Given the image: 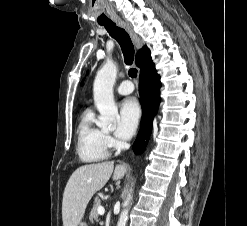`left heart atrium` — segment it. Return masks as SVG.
<instances>
[{
  "label": "left heart atrium",
  "mask_w": 247,
  "mask_h": 226,
  "mask_svg": "<svg viewBox=\"0 0 247 226\" xmlns=\"http://www.w3.org/2000/svg\"><path fill=\"white\" fill-rule=\"evenodd\" d=\"M140 116L141 108L137 99H125L120 105L118 136L122 139L131 137L138 126Z\"/></svg>",
  "instance_id": "left-heart-atrium-1"
}]
</instances>
